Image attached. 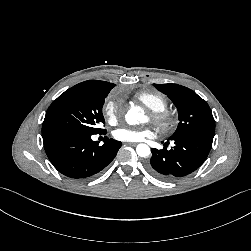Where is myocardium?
I'll return each instance as SVG.
<instances>
[{"instance_id": "1", "label": "myocardium", "mask_w": 251, "mask_h": 251, "mask_svg": "<svg viewBox=\"0 0 251 251\" xmlns=\"http://www.w3.org/2000/svg\"><path fill=\"white\" fill-rule=\"evenodd\" d=\"M152 120L163 132L171 130L176 124V118L167 111L152 113Z\"/></svg>"}]
</instances>
